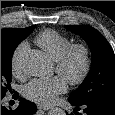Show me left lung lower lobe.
<instances>
[{"instance_id":"1","label":"left lung lower lobe","mask_w":115,"mask_h":115,"mask_svg":"<svg viewBox=\"0 0 115 115\" xmlns=\"http://www.w3.org/2000/svg\"><path fill=\"white\" fill-rule=\"evenodd\" d=\"M68 101L75 107V115H82L77 112L80 108H83L87 115H115V105H109L106 103H86L78 105L69 99ZM68 115H73V113Z\"/></svg>"}]
</instances>
